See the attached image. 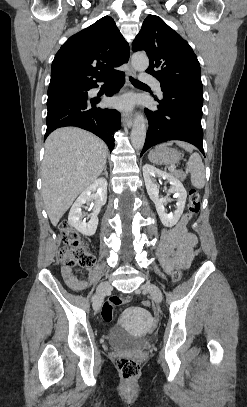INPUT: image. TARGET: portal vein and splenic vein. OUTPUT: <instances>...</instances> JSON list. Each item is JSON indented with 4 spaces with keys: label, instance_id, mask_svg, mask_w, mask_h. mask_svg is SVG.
Returning <instances> with one entry per match:
<instances>
[{
    "label": "portal vein and splenic vein",
    "instance_id": "1",
    "mask_svg": "<svg viewBox=\"0 0 247 407\" xmlns=\"http://www.w3.org/2000/svg\"><path fill=\"white\" fill-rule=\"evenodd\" d=\"M170 170H171V171H175V167H174V166H171V167H170Z\"/></svg>",
    "mask_w": 247,
    "mask_h": 407
}]
</instances>
